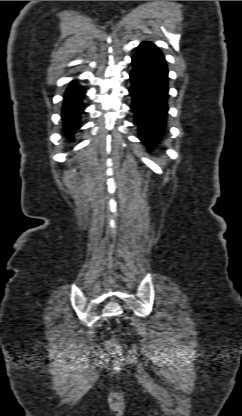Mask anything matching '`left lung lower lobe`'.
I'll use <instances>...</instances> for the list:
<instances>
[{"label": "left lung lower lobe", "mask_w": 242, "mask_h": 416, "mask_svg": "<svg viewBox=\"0 0 242 416\" xmlns=\"http://www.w3.org/2000/svg\"><path fill=\"white\" fill-rule=\"evenodd\" d=\"M130 108L139 139L151 151L165 132L168 114V70L162 52L152 43L142 42L132 57Z\"/></svg>", "instance_id": "left-lung-lower-lobe-1"}]
</instances>
